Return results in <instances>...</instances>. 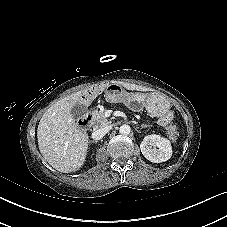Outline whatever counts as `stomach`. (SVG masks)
Returning a JSON list of instances; mask_svg holds the SVG:
<instances>
[{
	"label": "stomach",
	"instance_id": "0dacf381",
	"mask_svg": "<svg viewBox=\"0 0 227 227\" xmlns=\"http://www.w3.org/2000/svg\"><path fill=\"white\" fill-rule=\"evenodd\" d=\"M106 100L110 103H124L127 106L138 105L139 108H146L154 116L166 114L170 109L169 100L158 93L126 92L118 84L106 86Z\"/></svg>",
	"mask_w": 227,
	"mask_h": 227
}]
</instances>
